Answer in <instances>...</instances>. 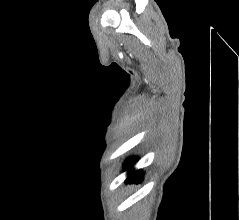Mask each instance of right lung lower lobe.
<instances>
[{"label":"right lung lower lobe","mask_w":239,"mask_h":220,"mask_svg":"<svg viewBox=\"0 0 239 220\" xmlns=\"http://www.w3.org/2000/svg\"><path fill=\"white\" fill-rule=\"evenodd\" d=\"M135 158L128 159L126 164L124 165L125 169L131 168L135 164ZM142 179V173L140 171L130 170L129 175L126 179L127 182L133 183V182H140Z\"/></svg>","instance_id":"right-lung-lower-lobe-1"}]
</instances>
